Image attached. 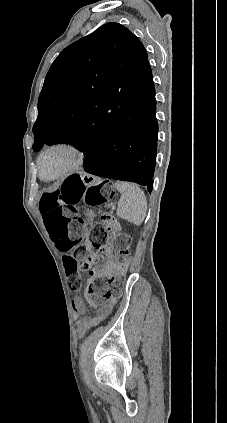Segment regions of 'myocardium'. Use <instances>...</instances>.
<instances>
[{"instance_id": "myocardium-1", "label": "myocardium", "mask_w": 227, "mask_h": 423, "mask_svg": "<svg viewBox=\"0 0 227 423\" xmlns=\"http://www.w3.org/2000/svg\"><path fill=\"white\" fill-rule=\"evenodd\" d=\"M55 149H62V150H66L70 152L73 156V160L71 164L60 174L51 178H45L43 176V169H42L43 158L45 157L47 153ZM86 159H87V155L85 151L76 143L65 141V142H57V143L51 144L47 146L44 150H42V152L40 153L38 157L37 164H38L39 176L41 177V179L47 182L68 178L78 173L84 168Z\"/></svg>"}]
</instances>
